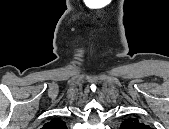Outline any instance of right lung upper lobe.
Masks as SVG:
<instances>
[{"label":"right lung upper lobe","mask_w":169,"mask_h":129,"mask_svg":"<svg viewBox=\"0 0 169 129\" xmlns=\"http://www.w3.org/2000/svg\"><path fill=\"white\" fill-rule=\"evenodd\" d=\"M44 128L46 129H65L66 124L59 118H54L50 122L46 123L44 125Z\"/></svg>","instance_id":"obj_1"}]
</instances>
